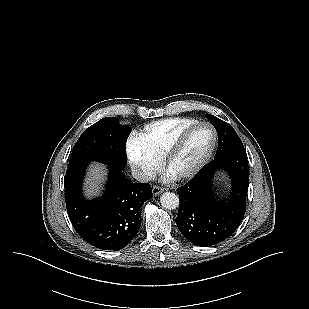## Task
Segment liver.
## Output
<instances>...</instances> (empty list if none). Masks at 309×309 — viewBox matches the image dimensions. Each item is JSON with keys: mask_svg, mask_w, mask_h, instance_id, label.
I'll return each mask as SVG.
<instances>
[{"mask_svg": "<svg viewBox=\"0 0 309 309\" xmlns=\"http://www.w3.org/2000/svg\"><path fill=\"white\" fill-rule=\"evenodd\" d=\"M106 171L104 167L96 163L91 165L85 185L87 196H94L99 191V184L104 181Z\"/></svg>", "mask_w": 309, "mask_h": 309, "instance_id": "liver-1", "label": "liver"}]
</instances>
